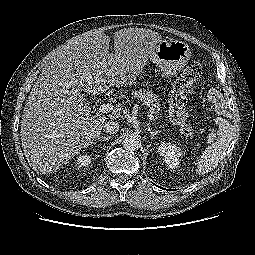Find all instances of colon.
I'll list each match as a JSON object with an SVG mask.
<instances>
[{"mask_svg":"<svg viewBox=\"0 0 255 255\" xmlns=\"http://www.w3.org/2000/svg\"><path fill=\"white\" fill-rule=\"evenodd\" d=\"M201 74L202 67L199 63L193 62L189 64L174 81L168 96L170 119L173 124L180 128L181 133L186 136L193 134V127L187 120L186 94L198 82ZM207 98L210 102L216 103L220 99V93L216 89H211L208 91Z\"/></svg>","mask_w":255,"mask_h":255,"instance_id":"5ec220e1","label":"colon"}]
</instances>
